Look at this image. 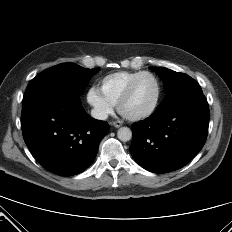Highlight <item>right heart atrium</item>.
I'll return each instance as SVG.
<instances>
[{
	"mask_svg": "<svg viewBox=\"0 0 232 232\" xmlns=\"http://www.w3.org/2000/svg\"><path fill=\"white\" fill-rule=\"evenodd\" d=\"M86 99L94 115L100 120L106 119L114 110V105L111 104L96 87L89 88Z\"/></svg>",
	"mask_w": 232,
	"mask_h": 232,
	"instance_id": "right-heart-atrium-1",
	"label": "right heart atrium"
}]
</instances>
